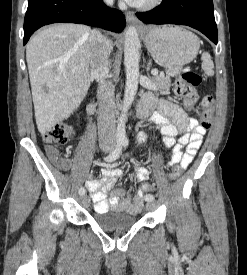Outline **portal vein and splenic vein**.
Returning <instances> with one entry per match:
<instances>
[{
	"instance_id": "1",
	"label": "portal vein and splenic vein",
	"mask_w": 247,
	"mask_h": 275,
	"mask_svg": "<svg viewBox=\"0 0 247 275\" xmlns=\"http://www.w3.org/2000/svg\"><path fill=\"white\" fill-rule=\"evenodd\" d=\"M151 73H152V75L156 76V75H158V70L154 69V70H152Z\"/></svg>"
}]
</instances>
